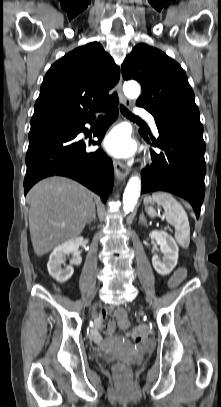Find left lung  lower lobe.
Here are the masks:
<instances>
[{"instance_id":"0a47b994","label":"left lung lower lobe","mask_w":221,"mask_h":407,"mask_svg":"<svg viewBox=\"0 0 221 407\" xmlns=\"http://www.w3.org/2000/svg\"><path fill=\"white\" fill-rule=\"evenodd\" d=\"M161 151H151L152 164L142 171V193L168 191L187 199L197 218L205 194L203 127L198 114L177 113L155 119ZM141 135L149 142L147 135Z\"/></svg>"}]
</instances>
